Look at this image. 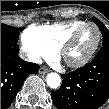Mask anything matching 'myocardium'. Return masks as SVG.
Instances as JSON below:
<instances>
[{"label": "myocardium", "mask_w": 109, "mask_h": 109, "mask_svg": "<svg viewBox=\"0 0 109 109\" xmlns=\"http://www.w3.org/2000/svg\"><path fill=\"white\" fill-rule=\"evenodd\" d=\"M94 27L97 30V40L95 42V44L93 45L92 49L90 50V52L84 56L83 58H81L80 60L77 61H71L67 58V52L69 51V49L75 44V42L78 39V36L80 35V33L87 27ZM101 39H102V33L100 28L98 27V25H96L95 23L92 22H87L77 28H75L70 35L68 36V38L62 43V45L59 47V52L62 56V58L64 59V61L66 62V64L71 67V68H80L85 66L86 64H88L92 58L94 57V55L96 54L100 43H101Z\"/></svg>", "instance_id": "f54148a6"}]
</instances>
